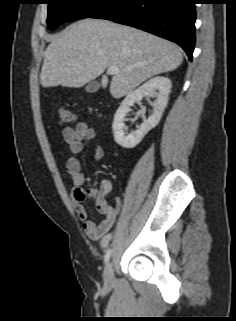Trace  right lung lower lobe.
<instances>
[{
  "label": "right lung lower lobe",
  "instance_id": "obj_1",
  "mask_svg": "<svg viewBox=\"0 0 236 321\" xmlns=\"http://www.w3.org/2000/svg\"><path fill=\"white\" fill-rule=\"evenodd\" d=\"M196 3V0H111L89 17L129 25L173 41L191 60Z\"/></svg>",
  "mask_w": 236,
  "mask_h": 321
}]
</instances>
